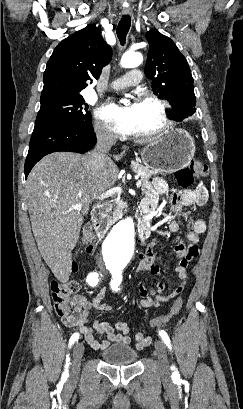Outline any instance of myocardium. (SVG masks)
Segmentation results:
<instances>
[{
	"instance_id": "obj_1",
	"label": "myocardium",
	"mask_w": 243,
	"mask_h": 409,
	"mask_svg": "<svg viewBox=\"0 0 243 409\" xmlns=\"http://www.w3.org/2000/svg\"><path fill=\"white\" fill-rule=\"evenodd\" d=\"M138 102H151L155 104L159 110L161 124L157 129L150 132L134 134L136 139L151 140L159 137L170 129L172 121L169 116V105L165 100L153 92L143 91L138 95Z\"/></svg>"
}]
</instances>
